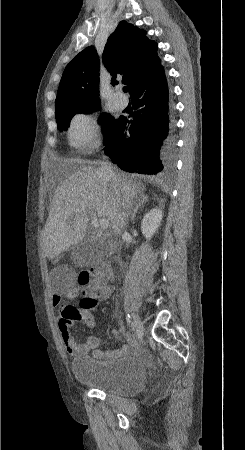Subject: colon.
Instances as JSON below:
<instances>
[{
    "label": "colon",
    "mask_w": 245,
    "mask_h": 450,
    "mask_svg": "<svg viewBox=\"0 0 245 450\" xmlns=\"http://www.w3.org/2000/svg\"><path fill=\"white\" fill-rule=\"evenodd\" d=\"M112 275V268L104 262H98L95 266L88 270H84L77 275L76 283L81 291L87 296L82 300L80 309L90 310L95 305L92 297L89 295L95 285L105 286L106 281ZM63 323L68 326L74 321L81 318L79 310L75 309L72 304H66L60 311Z\"/></svg>",
    "instance_id": "obj_1"
}]
</instances>
